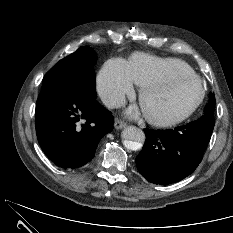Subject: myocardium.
Returning <instances> with one entry per match:
<instances>
[{"label": "myocardium", "mask_w": 233, "mask_h": 233, "mask_svg": "<svg viewBox=\"0 0 233 233\" xmlns=\"http://www.w3.org/2000/svg\"><path fill=\"white\" fill-rule=\"evenodd\" d=\"M186 79L196 80L200 84V87H201V94L198 100L194 103V105L184 114L178 117H175V118L156 117L144 111L145 117L149 123L157 127H165V128L174 127V126L184 123L185 121H187L190 117H192L195 114V112L200 108V106L204 102L205 97H206V87L202 79L195 73L165 76V77L156 79L154 81L147 82L140 87L138 98L142 106L143 98L148 91L156 90V89H159V88H162V87H165V86H168L173 83L186 80Z\"/></svg>", "instance_id": "1"}]
</instances>
